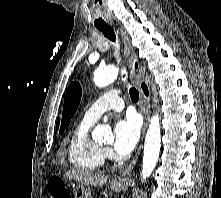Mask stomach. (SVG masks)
I'll list each match as a JSON object with an SVG mask.
<instances>
[{
  "mask_svg": "<svg viewBox=\"0 0 221 198\" xmlns=\"http://www.w3.org/2000/svg\"><path fill=\"white\" fill-rule=\"evenodd\" d=\"M127 183H112L111 189L113 191H121L126 187ZM74 196L75 198H91V189L88 185H85L83 183H79L74 188Z\"/></svg>",
  "mask_w": 221,
  "mask_h": 198,
  "instance_id": "stomach-1",
  "label": "stomach"
}]
</instances>
